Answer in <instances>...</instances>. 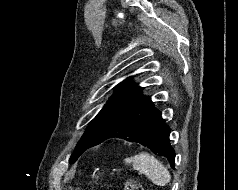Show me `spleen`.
<instances>
[{
	"label": "spleen",
	"mask_w": 238,
	"mask_h": 190,
	"mask_svg": "<svg viewBox=\"0 0 238 190\" xmlns=\"http://www.w3.org/2000/svg\"><path fill=\"white\" fill-rule=\"evenodd\" d=\"M125 162L132 164L133 168L144 174L157 186H165L171 181V175L167 168L154 156L140 153L134 157L126 158Z\"/></svg>",
	"instance_id": "obj_1"
}]
</instances>
